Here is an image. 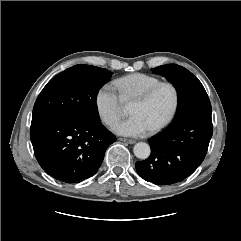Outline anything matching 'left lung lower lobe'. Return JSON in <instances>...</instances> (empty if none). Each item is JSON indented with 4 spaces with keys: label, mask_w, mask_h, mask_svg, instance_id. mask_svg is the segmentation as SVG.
<instances>
[{
    "label": "left lung lower lobe",
    "mask_w": 241,
    "mask_h": 241,
    "mask_svg": "<svg viewBox=\"0 0 241 241\" xmlns=\"http://www.w3.org/2000/svg\"><path fill=\"white\" fill-rule=\"evenodd\" d=\"M213 134L211 112L166 128L149 140L150 156L136 163L141 178L157 185L180 182L202 163Z\"/></svg>",
    "instance_id": "1"
}]
</instances>
